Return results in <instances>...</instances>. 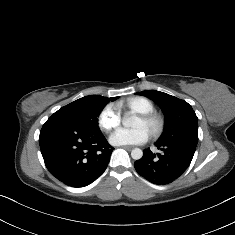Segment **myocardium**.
<instances>
[{
	"instance_id": "1",
	"label": "myocardium",
	"mask_w": 235,
	"mask_h": 235,
	"mask_svg": "<svg viewBox=\"0 0 235 235\" xmlns=\"http://www.w3.org/2000/svg\"><path fill=\"white\" fill-rule=\"evenodd\" d=\"M139 118L144 123L146 130L152 138H156L163 133L165 119L161 114L153 111L149 114H139Z\"/></svg>"
}]
</instances>
